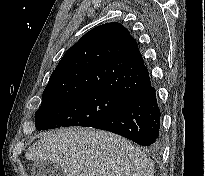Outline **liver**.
<instances>
[{"instance_id":"obj_1","label":"liver","mask_w":205,"mask_h":176,"mask_svg":"<svg viewBox=\"0 0 205 176\" xmlns=\"http://www.w3.org/2000/svg\"><path fill=\"white\" fill-rule=\"evenodd\" d=\"M59 164L65 176H153V161L127 139L107 131L65 128L46 133L25 153Z\"/></svg>"}]
</instances>
